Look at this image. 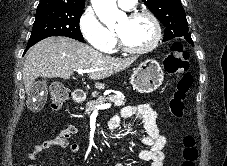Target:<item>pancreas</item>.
I'll use <instances>...</instances> for the list:
<instances>
[{
    "instance_id": "pancreas-1",
    "label": "pancreas",
    "mask_w": 227,
    "mask_h": 166,
    "mask_svg": "<svg viewBox=\"0 0 227 166\" xmlns=\"http://www.w3.org/2000/svg\"><path fill=\"white\" fill-rule=\"evenodd\" d=\"M106 101L113 102L115 106L120 107L125 105L124 96L118 95H109L108 97H99L97 100L89 101L86 103L85 113L90 114L93 110H95L96 106L102 105Z\"/></svg>"
}]
</instances>
